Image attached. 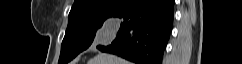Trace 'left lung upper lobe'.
I'll list each match as a JSON object with an SVG mask.
<instances>
[{
  "instance_id": "obj_1",
  "label": "left lung upper lobe",
  "mask_w": 242,
  "mask_h": 64,
  "mask_svg": "<svg viewBox=\"0 0 242 64\" xmlns=\"http://www.w3.org/2000/svg\"><path fill=\"white\" fill-rule=\"evenodd\" d=\"M128 0H75L61 46L58 64H67L93 42L105 20Z\"/></svg>"
}]
</instances>
